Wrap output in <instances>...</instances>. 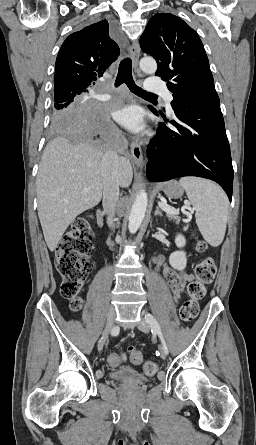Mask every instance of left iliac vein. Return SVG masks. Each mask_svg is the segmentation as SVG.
<instances>
[{"mask_svg": "<svg viewBox=\"0 0 256 445\" xmlns=\"http://www.w3.org/2000/svg\"><path fill=\"white\" fill-rule=\"evenodd\" d=\"M138 329L144 333H148L149 325L147 324V322L144 319H141V321L138 323ZM161 357L164 360L167 358V354L163 351V349H161Z\"/></svg>", "mask_w": 256, "mask_h": 445, "instance_id": "4c4485c4", "label": "left iliac vein"}]
</instances>
